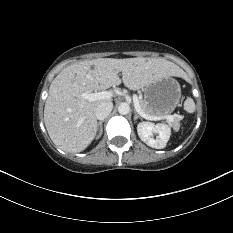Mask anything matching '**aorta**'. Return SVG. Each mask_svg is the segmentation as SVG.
I'll list each match as a JSON object with an SVG mask.
<instances>
[{"mask_svg": "<svg viewBox=\"0 0 233 233\" xmlns=\"http://www.w3.org/2000/svg\"><path fill=\"white\" fill-rule=\"evenodd\" d=\"M130 111V106L128 103H121L119 106H118V112L121 114V115H126L128 114Z\"/></svg>", "mask_w": 233, "mask_h": 233, "instance_id": "aorta-1", "label": "aorta"}]
</instances>
